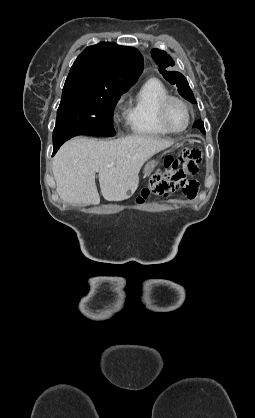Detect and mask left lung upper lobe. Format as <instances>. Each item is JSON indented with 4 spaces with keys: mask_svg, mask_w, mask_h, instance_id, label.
Wrapping results in <instances>:
<instances>
[{
    "mask_svg": "<svg viewBox=\"0 0 255 418\" xmlns=\"http://www.w3.org/2000/svg\"><path fill=\"white\" fill-rule=\"evenodd\" d=\"M151 56L159 66V71L163 75V77L170 82L171 84H175L178 87V92L182 97L186 100L190 101L191 103H197L191 88L186 80V78L180 73L176 71H168L167 69L174 65L173 59L168 55L165 51L159 50L157 48L152 49ZM201 132L205 133V129H200Z\"/></svg>",
    "mask_w": 255,
    "mask_h": 418,
    "instance_id": "1",
    "label": "left lung upper lobe"
}]
</instances>
